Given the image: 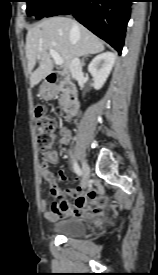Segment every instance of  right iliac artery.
<instances>
[{
    "label": "right iliac artery",
    "mask_w": 158,
    "mask_h": 275,
    "mask_svg": "<svg viewBox=\"0 0 158 275\" xmlns=\"http://www.w3.org/2000/svg\"><path fill=\"white\" fill-rule=\"evenodd\" d=\"M73 170L78 176H82V171L75 160H73Z\"/></svg>",
    "instance_id": "1"
}]
</instances>
